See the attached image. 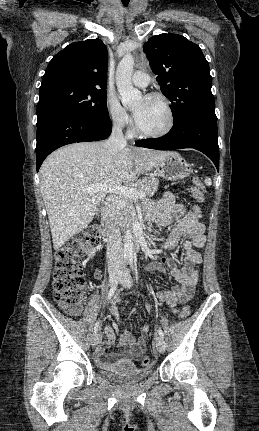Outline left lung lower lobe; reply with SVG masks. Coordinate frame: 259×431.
<instances>
[{
	"instance_id": "1",
	"label": "left lung lower lobe",
	"mask_w": 259,
	"mask_h": 431,
	"mask_svg": "<svg viewBox=\"0 0 259 431\" xmlns=\"http://www.w3.org/2000/svg\"><path fill=\"white\" fill-rule=\"evenodd\" d=\"M140 147L157 150L193 148L207 155L219 171L217 119L201 115L184 117L173 123L163 137L137 141Z\"/></svg>"
}]
</instances>
